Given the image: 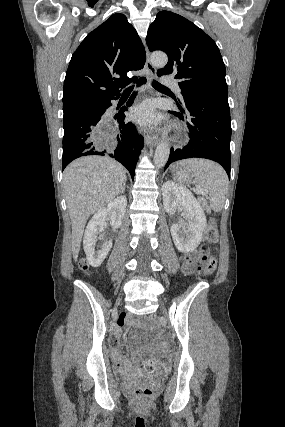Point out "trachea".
I'll return each mask as SVG.
<instances>
[{"mask_svg":"<svg viewBox=\"0 0 285 427\" xmlns=\"http://www.w3.org/2000/svg\"><path fill=\"white\" fill-rule=\"evenodd\" d=\"M152 85L156 89H166V87L164 85H161L160 83H158L155 80L152 82ZM133 88H134V85H131V86L127 87L124 91H129V90H132Z\"/></svg>","mask_w":285,"mask_h":427,"instance_id":"obj_1","label":"trachea"}]
</instances>
